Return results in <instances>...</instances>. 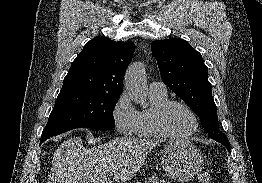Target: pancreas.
<instances>
[{"instance_id": "cf45deb5", "label": "pancreas", "mask_w": 262, "mask_h": 183, "mask_svg": "<svg viewBox=\"0 0 262 183\" xmlns=\"http://www.w3.org/2000/svg\"><path fill=\"white\" fill-rule=\"evenodd\" d=\"M144 183H171V182L161 180L157 176H151V177L145 179Z\"/></svg>"}]
</instances>
